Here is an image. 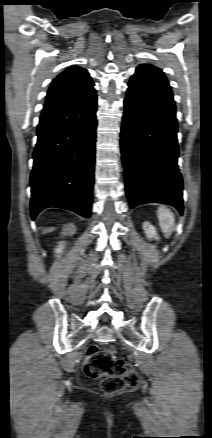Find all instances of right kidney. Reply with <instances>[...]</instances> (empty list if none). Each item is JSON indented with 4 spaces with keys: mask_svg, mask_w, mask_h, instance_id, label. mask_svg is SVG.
Instances as JSON below:
<instances>
[{
    "mask_svg": "<svg viewBox=\"0 0 212 438\" xmlns=\"http://www.w3.org/2000/svg\"><path fill=\"white\" fill-rule=\"evenodd\" d=\"M63 234H73L74 233V231H75V227H74V225H72V224H69V225H66L64 228H63ZM64 242H60L59 243V245L57 246V248L55 249V252L57 253V254H60V253H62V251H63V249H64Z\"/></svg>",
    "mask_w": 212,
    "mask_h": 438,
    "instance_id": "1",
    "label": "right kidney"
}]
</instances>
